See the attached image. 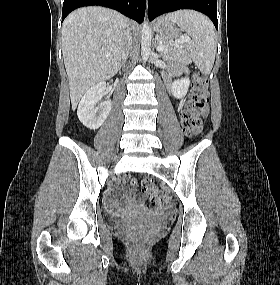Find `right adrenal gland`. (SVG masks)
<instances>
[{
  "mask_svg": "<svg viewBox=\"0 0 280 285\" xmlns=\"http://www.w3.org/2000/svg\"><path fill=\"white\" fill-rule=\"evenodd\" d=\"M124 64V62L122 61L121 66Z\"/></svg>",
  "mask_w": 280,
  "mask_h": 285,
  "instance_id": "obj_1",
  "label": "right adrenal gland"
}]
</instances>
